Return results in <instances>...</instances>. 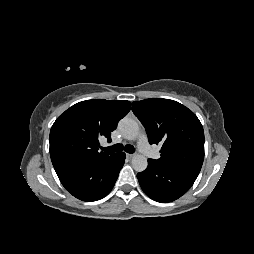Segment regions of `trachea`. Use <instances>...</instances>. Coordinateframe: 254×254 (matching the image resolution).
<instances>
[{"mask_svg": "<svg viewBox=\"0 0 254 254\" xmlns=\"http://www.w3.org/2000/svg\"><path fill=\"white\" fill-rule=\"evenodd\" d=\"M105 152H118L124 150L127 153H134L135 148L131 145H126L124 148L121 144H115L109 147H102Z\"/></svg>", "mask_w": 254, "mask_h": 254, "instance_id": "3493384b", "label": "trachea"}]
</instances>
